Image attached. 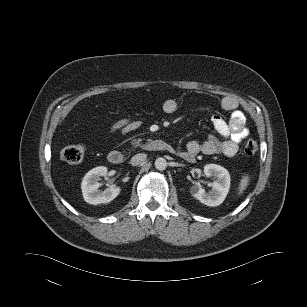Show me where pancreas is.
Wrapping results in <instances>:
<instances>
[{
    "mask_svg": "<svg viewBox=\"0 0 307 307\" xmlns=\"http://www.w3.org/2000/svg\"><path fill=\"white\" fill-rule=\"evenodd\" d=\"M142 141V139H133L131 141V144L134 145V146H140V142Z\"/></svg>",
    "mask_w": 307,
    "mask_h": 307,
    "instance_id": "pancreas-1",
    "label": "pancreas"
}]
</instances>
